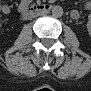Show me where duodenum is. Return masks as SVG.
<instances>
[{"instance_id":"410a0bca","label":"duodenum","mask_w":91,"mask_h":91,"mask_svg":"<svg viewBox=\"0 0 91 91\" xmlns=\"http://www.w3.org/2000/svg\"><path fill=\"white\" fill-rule=\"evenodd\" d=\"M52 7H53L52 4H49V3L32 4L25 9V11L23 12L22 18L28 19L38 14L46 13L49 10H51Z\"/></svg>"}]
</instances>
